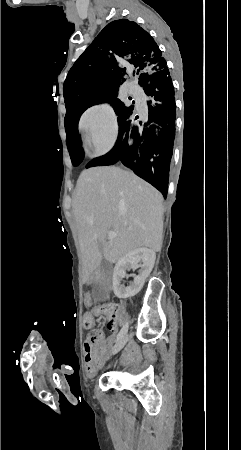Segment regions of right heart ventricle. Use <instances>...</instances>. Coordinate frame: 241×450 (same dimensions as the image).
<instances>
[{
    "label": "right heart ventricle",
    "mask_w": 241,
    "mask_h": 450,
    "mask_svg": "<svg viewBox=\"0 0 241 450\" xmlns=\"http://www.w3.org/2000/svg\"><path fill=\"white\" fill-rule=\"evenodd\" d=\"M84 134L86 135V133H85V130H84ZM86 137H87V135H86ZM85 140V139H84ZM89 141V140H88ZM86 143V142H85Z\"/></svg>",
    "instance_id": "e07e8e85"
}]
</instances>
